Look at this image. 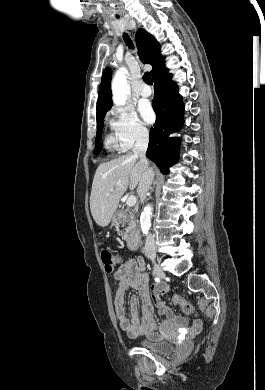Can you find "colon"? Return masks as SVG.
<instances>
[{
    "label": "colon",
    "instance_id": "1",
    "mask_svg": "<svg viewBox=\"0 0 265 390\" xmlns=\"http://www.w3.org/2000/svg\"><path fill=\"white\" fill-rule=\"evenodd\" d=\"M102 263L107 273H112L117 265V259L115 255L108 249H103L100 253ZM172 302L179 306L183 313L191 315L194 314L193 305L185 300L183 297L177 294L171 296Z\"/></svg>",
    "mask_w": 265,
    "mask_h": 390
}]
</instances>
